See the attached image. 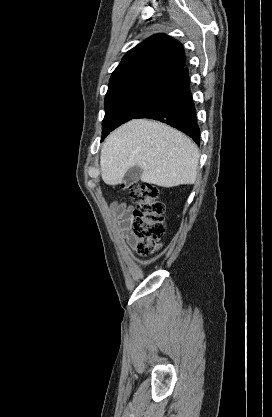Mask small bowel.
Returning a JSON list of instances; mask_svg holds the SVG:
<instances>
[{
  "label": "small bowel",
  "instance_id": "obj_1",
  "mask_svg": "<svg viewBox=\"0 0 272 417\" xmlns=\"http://www.w3.org/2000/svg\"><path fill=\"white\" fill-rule=\"evenodd\" d=\"M111 212L113 214L114 219L119 225L122 237L130 245H134L136 243V239L130 230L132 207L124 203L114 202L111 205Z\"/></svg>",
  "mask_w": 272,
  "mask_h": 417
}]
</instances>
